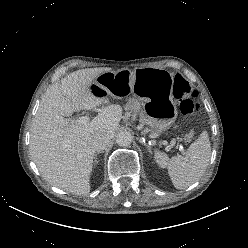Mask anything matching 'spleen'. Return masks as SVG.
<instances>
[{
	"label": "spleen",
	"mask_w": 248,
	"mask_h": 248,
	"mask_svg": "<svg viewBox=\"0 0 248 248\" xmlns=\"http://www.w3.org/2000/svg\"><path fill=\"white\" fill-rule=\"evenodd\" d=\"M211 157V146L207 131H203L182 155L169 159L167 154L156 152V163L167 168L172 183L177 189L194 184L205 173Z\"/></svg>",
	"instance_id": "spleen-1"
}]
</instances>
